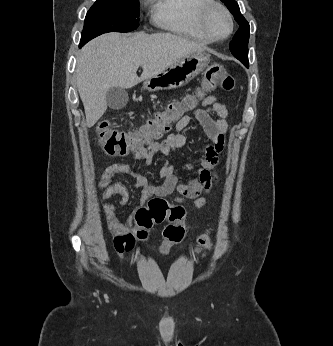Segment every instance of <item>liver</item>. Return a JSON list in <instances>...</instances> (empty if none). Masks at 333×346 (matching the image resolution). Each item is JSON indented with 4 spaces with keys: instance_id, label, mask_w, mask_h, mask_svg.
<instances>
[{
    "instance_id": "1",
    "label": "liver",
    "mask_w": 333,
    "mask_h": 346,
    "mask_svg": "<svg viewBox=\"0 0 333 346\" xmlns=\"http://www.w3.org/2000/svg\"><path fill=\"white\" fill-rule=\"evenodd\" d=\"M205 46L171 33L130 35L107 33L81 50L77 57L76 81L90 128L107 109L110 88L129 89L153 77L187 55L204 51ZM143 68L140 77L136 72Z\"/></svg>"
}]
</instances>
